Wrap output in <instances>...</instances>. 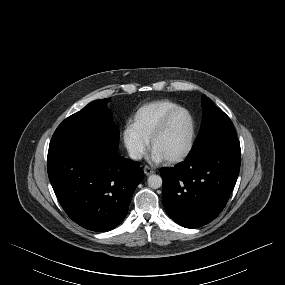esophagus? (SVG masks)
Returning <instances> with one entry per match:
<instances>
[{
  "label": "esophagus",
  "mask_w": 285,
  "mask_h": 285,
  "mask_svg": "<svg viewBox=\"0 0 285 285\" xmlns=\"http://www.w3.org/2000/svg\"><path fill=\"white\" fill-rule=\"evenodd\" d=\"M155 172H156L155 169H153L152 167H149V166L144 167V173L146 175H151V174H154Z\"/></svg>",
  "instance_id": "34e87169"
}]
</instances>
